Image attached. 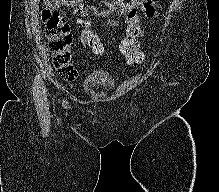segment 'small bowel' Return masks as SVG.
Masks as SVG:
<instances>
[{
	"label": "small bowel",
	"instance_id": "c3829d8e",
	"mask_svg": "<svg viewBox=\"0 0 219 192\" xmlns=\"http://www.w3.org/2000/svg\"><path fill=\"white\" fill-rule=\"evenodd\" d=\"M53 5L60 7L62 5L61 0H52ZM82 0H74L72 3L74 13L79 14L80 17L77 19L78 24L81 27V46L83 48H90L94 52H98L92 48L91 41H97L100 43L98 35L91 29V21L85 17L86 7L81 3ZM47 4L50 0H45ZM110 12L118 11L121 15L119 20H109L108 23L111 25L124 24L126 26L127 34L137 32L138 37L142 34V27L140 25L139 12H143L147 17H155L157 11L155 6V0H112L107 3ZM101 44V43H100Z\"/></svg>",
	"mask_w": 219,
	"mask_h": 192
}]
</instances>
